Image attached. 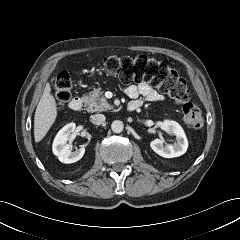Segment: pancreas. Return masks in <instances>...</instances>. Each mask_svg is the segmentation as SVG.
I'll list each match as a JSON object with an SVG mask.
<instances>
[{"mask_svg": "<svg viewBox=\"0 0 240 240\" xmlns=\"http://www.w3.org/2000/svg\"><path fill=\"white\" fill-rule=\"evenodd\" d=\"M102 95L101 88H97L91 91L89 95L82 97L87 112L93 113L112 109V106H110L107 99Z\"/></svg>", "mask_w": 240, "mask_h": 240, "instance_id": "1", "label": "pancreas"}]
</instances>
